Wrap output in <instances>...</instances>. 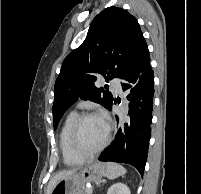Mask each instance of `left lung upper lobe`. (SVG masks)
Segmentation results:
<instances>
[{
	"label": "left lung upper lobe",
	"instance_id": "obj_1",
	"mask_svg": "<svg viewBox=\"0 0 201 194\" xmlns=\"http://www.w3.org/2000/svg\"><path fill=\"white\" fill-rule=\"evenodd\" d=\"M143 40L136 18L126 10L112 6L99 13L82 45L63 61L55 83L54 129L79 97L110 109L113 96L95 86L96 75L102 74L107 82L114 77L122 78Z\"/></svg>",
	"mask_w": 201,
	"mask_h": 194
}]
</instances>
